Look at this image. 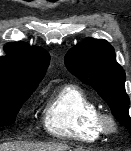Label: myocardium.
<instances>
[{"label": "myocardium", "instance_id": "f54148a6", "mask_svg": "<svg viewBox=\"0 0 131 151\" xmlns=\"http://www.w3.org/2000/svg\"><path fill=\"white\" fill-rule=\"evenodd\" d=\"M97 122L104 134H112L117 131L118 124L112 114L99 112Z\"/></svg>", "mask_w": 131, "mask_h": 151}]
</instances>
